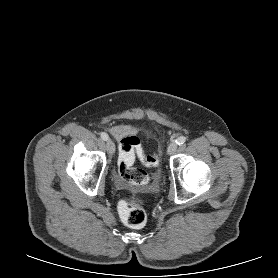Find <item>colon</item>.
Here are the masks:
<instances>
[{"label": "colon", "mask_w": 278, "mask_h": 278, "mask_svg": "<svg viewBox=\"0 0 278 278\" xmlns=\"http://www.w3.org/2000/svg\"><path fill=\"white\" fill-rule=\"evenodd\" d=\"M136 155L142 163L149 167L158 165V157L155 154L144 155L137 137H127L121 140L119 145L118 170L120 176L134 185H146L149 182L148 174L139 168H135ZM118 214L124 224L132 228H140L146 223V211L143 201L135 196L122 198L118 203Z\"/></svg>", "instance_id": "obj_1"}]
</instances>
